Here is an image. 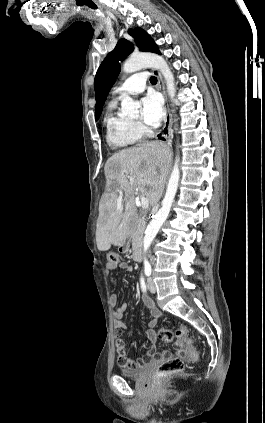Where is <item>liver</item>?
<instances>
[{"instance_id":"1","label":"liver","mask_w":265,"mask_h":423,"mask_svg":"<svg viewBox=\"0 0 265 423\" xmlns=\"http://www.w3.org/2000/svg\"><path fill=\"white\" fill-rule=\"evenodd\" d=\"M171 161L170 149L161 142L142 143L113 154L106 162L104 172L114 190L105 194L99 206L96 243L100 251L124 242L128 232L127 214L135 211L134 194L139 192L150 205L159 201ZM126 213L118 208L119 200Z\"/></svg>"}]
</instances>
